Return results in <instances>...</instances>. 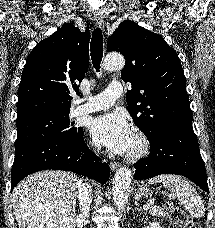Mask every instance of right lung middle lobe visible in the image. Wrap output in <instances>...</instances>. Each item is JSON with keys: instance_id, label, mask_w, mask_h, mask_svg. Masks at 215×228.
<instances>
[{"instance_id": "obj_1", "label": "right lung middle lobe", "mask_w": 215, "mask_h": 228, "mask_svg": "<svg viewBox=\"0 0 215 228\" xmlns=\"http://www.w3.org/2000/svg\"><path fill=\"white\" fill-rule=\"evenodd\" d=\"M69 113L49 114L33 117L22 122H16L17 139L15 148L32 141L53 137L78 140L82 137L81 127H72Z\"/></svg>"}]
</instances>
